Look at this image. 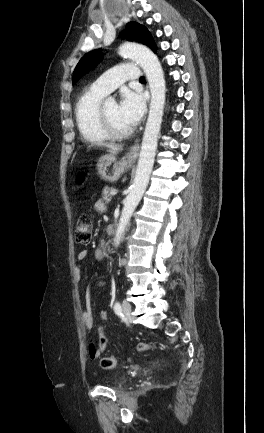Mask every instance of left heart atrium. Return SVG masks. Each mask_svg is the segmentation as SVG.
I'll return each instance as SVG.
<instances>
[{"mask_svg": "<svg viewBox=\"0 0 264 433\" xmlns=\"http://www.w3.org/2000/svg\"><path fill=\"white\" fill-rule=\"evenodd\" d=\"M121 117L131 126L138 124L145 111V101L140 93L125 90L118 105Z\"/></svg>", "mask_w": 264, "mask_h": 433, "instance_id": "39dd6f15", "label": "left heart atrium"}]
</instances>
